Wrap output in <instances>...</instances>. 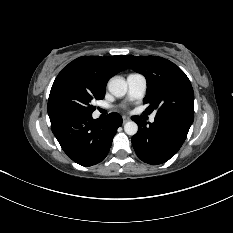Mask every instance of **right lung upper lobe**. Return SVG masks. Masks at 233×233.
I'll return each mask as SVG.
<instances>
[{
    "label": "right lung upper lobe",
    "mask_w": 233,
    "mask_h": 233,
    "mask_svg": "<svg viewBox=\"0 0 233 233\" xmlns=\"http://www.w3.org/2000/svg\"><path fill=\"white\" fill-rule=\"evenodd\" d=\"M122 55L107 57H79L70 62L56 77L53 84L72 81L93 91L105 93L106 84L112 76L128 68Z\"/></svg>",
    "instance_id": "1"
}]
</instances>
